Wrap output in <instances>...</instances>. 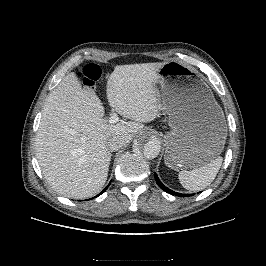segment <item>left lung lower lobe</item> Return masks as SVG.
Returning a JSON list of instances; mask_svg holds the SVG:
<instances>
[{"label":"left lung lower lobe","mask_w":266,"mask_h":266,"mask_svg":"<svg viewBox=\"0 0 266 266\" xmlns=\"http://www.w3.org/2000/svg\"><path fill=\"white\" fill-rule=\"evenodd\" d=\"M154 178H155V181L157 183V185L162 189L164 190L165 192L171 194V195H175V196H179V197H186V196H192L194 194H180V193H177V192H174L172 190H170L169 188L165 187L162 182L159 180L158 176L156 173H154Z\"/></svg>","instance_id":"obj_1"}]
</instances>
